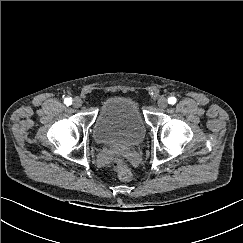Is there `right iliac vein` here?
<instances>
[{"label": "right iliac vein", "instance_id": "63e3f726", "mask_svg": "<svg viewBox=\"0 0 243 243\" xmlns=\"http://www.w3.org/2000/svg\"><path fill=\"white\" fill-rule=\"evenodd\" d=\"M82 99L81 98H79V97H75L74 99H73V107L74 108H80L81 106H82Z\"/></svg>", "mask_w": 243, "mask_h": 243}]
</instances>
